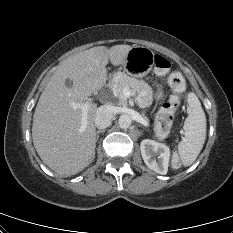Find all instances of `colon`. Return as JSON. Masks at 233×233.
<instances>
[{"label":"colon","instance_id":"1","mask_svg":"<svg viewBox=\"0 0 233 233\" xmlns=\"http://www.w3.org/2000/svg\"><path fill=\"white\" fill-rule=\"evenodd\" d=\"M153 65L154 72L158 76H165L170 72V62L161 55L154 56ZM167 82L172 89V94L157 115L155 131L159 139H164L168 135L174 114L180 105L181 93L185 89V80L179 72H171L168 75ZM171 167L173 169L181 167V160L176 153L171 156Z\"/></svg>","mask_w":233,"mask_h":233}]
</instances>
